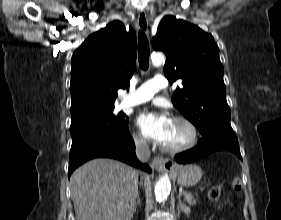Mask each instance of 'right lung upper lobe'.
<instances>
[{"label": "right lung upper lobe", "mask_w": 281, "mask_h": 220, "mask_svg": "<svg viewBox=\"0 0 281 220\" xmlns=\"http://www.w3.org/2000/svg\"><path fill=\"white\" fill-rule=\"evenodd\" d=\"M136 64V35L118 20L91 34L73 53L71 119L114 109L120 88L129 89Z\"/></svg>", "instance_id": "right-lung-upper-lobe-1"}]
</instances>
